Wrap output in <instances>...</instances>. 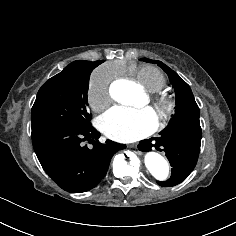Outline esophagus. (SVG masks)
I'll return each mask as SVG.
<instances>
[{
    "instance_id": "obj_1",
    "label": "esophagus",
    "mask_w": 236,
    "mask_h": 236,
    "mask_svg": "<svg viewBox=\"0 0 236 236\" xmlns=\"http://www.w3.org/2000/svg\"><path fill=\"white\" fill-rule=\"evenodd\" d=\"M129 147H131V148H132V147H135V145H134V144H133V145H129Z\"/></svg>"
}]
</instances>
